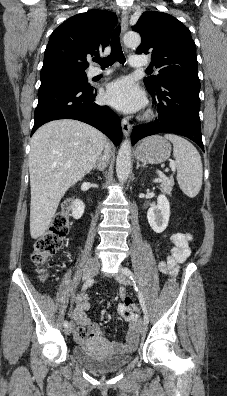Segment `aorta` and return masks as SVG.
I'll return each mask as SVG.
<instances>
[{
    "instance_id": "762f6f07",
    "label": "aorta",
    "mask_w": 227,
    "mask_h": 396,
    "mask_svg": "<svg viewBox=\"0 0 227 396\" xmlns=\"http://www.w3.org/2000/svg\"><path fill=\"white\" fill-rule=\"evenodd\" d=\"M124 44L128 47L137 48L141 43V37L136 32L125 34ZM131 168V142L126 139L122 142L116 160V174L120 182L128 179Z\"/></svg>"
}]
</instances>
